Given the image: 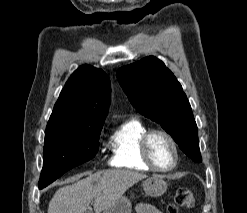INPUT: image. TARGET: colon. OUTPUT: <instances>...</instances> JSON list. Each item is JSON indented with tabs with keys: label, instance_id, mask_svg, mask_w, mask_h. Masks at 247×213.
Returning a JSON list of instances; mask_svg holds the SVG:
<instances>
[{
	"label": "colon",
	"instance_id": "obj_1",
	"mask_svg": "<svg viewBox=\"0 0 247 213\" xmlns=\"http://www.w3.org/2000/svg\"><path fill=\"white\" fill-rule=\"evenodd\" d=\"M195 202L193 192L187 188L177 191L173 203L169 206L170 213H177L179 209H190Z\"/></svg>",
	"mask_w": 247,
	"mask_h": 213
}]
</instances>
